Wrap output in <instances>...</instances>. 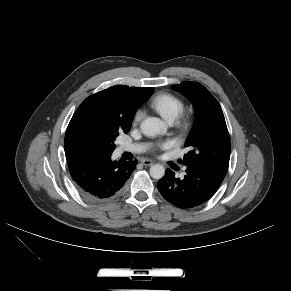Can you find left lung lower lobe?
<instances>
[{"label": "left lung lower lobe", "instance_id": "left-lung-lower-lobe-1", "mask_svg": "<svg viewBox=\"0 0 291 291\" xmlns=\"http://www.w3.org/2000/svg\"><path fill=\"white\" fill-rule=\"evenodd\" d=\"M186 173L184 179H179L167 169L166 175L157 184L160 193L169 203L185 209L209 200L226 175L199 165H187Z\"/></svg>", "mask_w": 291, "mask_h": 291}]
</instances>
